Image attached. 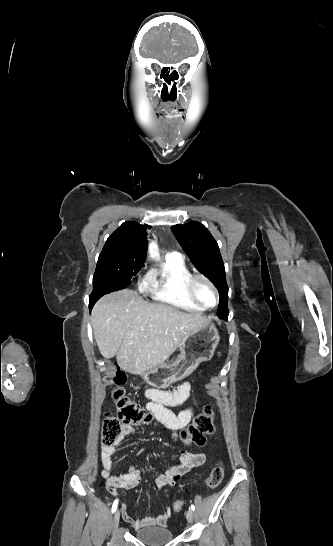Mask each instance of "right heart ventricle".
<instances>
[{
	"label": "right heart ventricle",
	"instance_id": "1",
	"mask_svg": "<svg viewBox=\"0 0 333 546\" xmlns=\"http://www.w3.org/2000/svg\"><path fill=\"white\" fill-rule=\"evenodd\" d=\"M190 271L184 260L168 258L153 277V299L163 305L189 312H203L205 309L194 303L186 294L184 281Z\"/></svg>",
	"mask_w": 333,
	"mask_h": 546
}]
</instances>
